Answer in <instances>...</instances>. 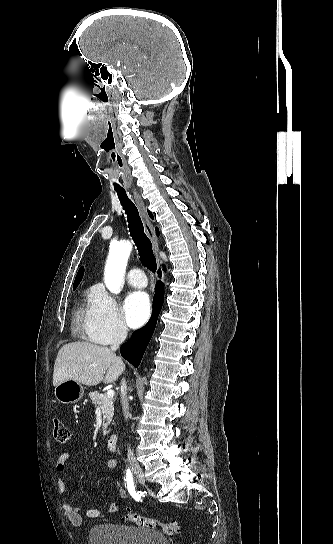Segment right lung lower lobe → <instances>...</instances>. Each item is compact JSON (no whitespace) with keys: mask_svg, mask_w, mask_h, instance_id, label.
I'll return each instance as SVG.
<instances>
[{"mask_svg":"<svg viewBox=\"0 0 333 544\" xmlns=\"http://www.w3.org/2000/svg\"><path fill=\"white\" fill-rule=\"evenodd\" d=\"M159 283L160 285L156 290L153 299V313L150 321L141 330L137 331L131 337V339L124 343L120 348L121 355L135 367H138L141 362L143 354L153 335L157 317L163 304L164 287L162 286L161 281H159Z\"/></svg>","mask_w":333,"mask_h":544,"instance_id":"right-lung-lower-lobe-1","label":"right lung lower lobe"}]
</instances>
